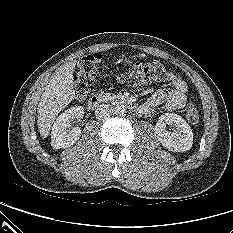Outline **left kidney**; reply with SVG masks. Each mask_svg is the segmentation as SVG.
<instances>
[{"instance_id": "5707ae66", "label": "left kidney", "mask_w": 233, "mask_h": 233, "mask_svg": "<svg viewBox=\"0 0 233 233\" xmlns=\"http://www.w3.org/2000/svg\"><path fill=\"white\" fill-rule=\"evenodd\" d=\"M174 125L175 130L169 132L166 125ZM155 133L162 145L170 151L184 152L190 150L193 144V132L188 123L179 115L165 113L159 117Z\"/></svg>"}]
</instances>
